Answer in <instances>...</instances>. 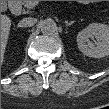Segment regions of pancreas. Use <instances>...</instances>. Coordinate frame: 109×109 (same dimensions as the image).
<instances>
[{
    "mask_svg": "<svg viewBox=\"0 0 109 109\" xmlns=\"http://www.w3.org/2000/svg\"><path fill=\"white\" fill-rule=\"evenodd\" d=\"M22 4H23L24 6H27V5H28V1H23Z\"/></svg>",
    "mask_w": 109,
    "mask_h": 109,
    "instance_id": "obj_1",
    "label": "pancreas"
}]
</instances>
